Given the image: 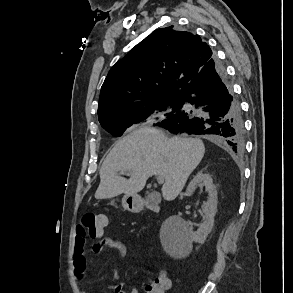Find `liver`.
I'll return each mask as SVG.
<instances>
[{
	"label": "liver",
	"mask_w": 293,
	"mask_h": 293,
	"mask_svg": "<svg viewBox=\"0 0 293 293\" xmlns=\"http://www.w3.org/2000/svg\"><path fill=\"white\" fill-rule=\"evenodd\" d=\"M205 153L200 139L168 138L161 130L144 126L117 141L100 169L96 199L122 193L135 195L152 175L164 178L163 198H177ZM121 174L130 176L126 179Z\"/></svg>",
	"instance_id": "1"
}]
</instances>
